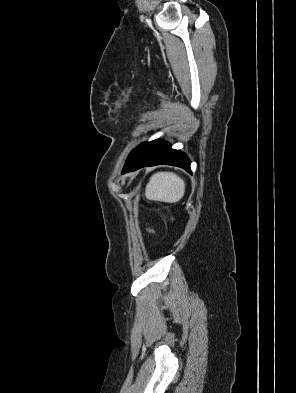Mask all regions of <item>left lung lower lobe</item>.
I'll return each mask as SVG.
<instances>
[{
    "label": "left lung lower lobe",
    "instance_id": "0a47b994",
    "mask_svg": "<svg viewBox=\"0 0 296 393\" xmlns=\"http://www.w3.org/2000/svg\"><path fill=\"white\" fill-rule=\"evenodd\" d=\"M159 164L175 165L191 173L188 157L174 150L171 145L160 139L140 144L129 155L122 173L135 171L145 166Z\"/></svg>",
    "mask_w": 296,
    "mask_h": 393
}]
</instances>
